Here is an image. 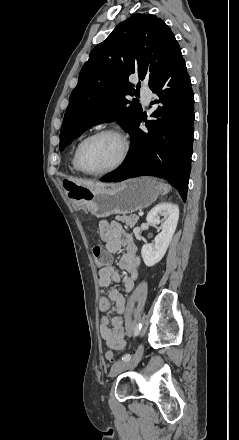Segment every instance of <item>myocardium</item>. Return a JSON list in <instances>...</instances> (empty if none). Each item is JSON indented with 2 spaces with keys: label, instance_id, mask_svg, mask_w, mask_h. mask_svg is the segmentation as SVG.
<instances>
[{
  "label": "myocardium",
  "instance_id": "obj_1",
  "mask_svg": "<svg viewBox=\"0 0 239 440\" xmlns=\"http://www.w3.org/2000/svg\"><path fill=\"white\" fill-rule=\"evenodd\" d=\"M101 135H113V136L117 137L121 142L122 152H121V155H120L118 162L113 167H111L107 170H104V171L91 172V171L86 170L83 167L82 158H81L82 149L88 141H90L93 138H96L98 136H101ZM129 151H130L129 140L122 131H120L116 128H111V127L101 128V129H98V130L88 134L78 144L77 149H76V156H75L76 165H77L78 170L87 176L99 177V176L109 175V174H112V173L118 171L124 165V163L126 162V160L128 158Z\"/></svg>",
  "mask_w": 239,
  "mask_h": 440
}]
</instances>
